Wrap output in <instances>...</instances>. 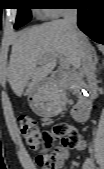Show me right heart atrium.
I'll use <instances>...</instances> for the list:
<instances>
[{"mask_svg": "<svg viewBox=\"0 0 104 169\" xmlns=\"http://www.w3.org/2000/svg\"><path fill=\"white\" fill-rule=\"evenodd\" d=\"M66 9H45L43 15L46 18H56L61 16Z\"/></svg>", "mask_w": 104, "mask_h": 169, "instance_id": "d8ad5b80", "label": "right heart atrium"}]
</instances>
